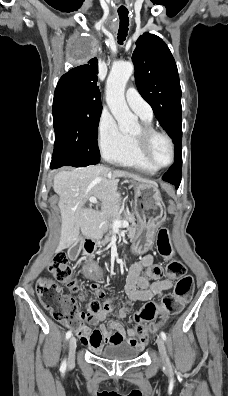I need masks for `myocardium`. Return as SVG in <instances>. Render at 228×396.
Returning a JSON list of instances; mask_svg holds the SVG:
<instances>
[{
	"label": "myocardium",
	"instance_id": "myocardium-1",
	"mask_svg": "<svg viewBox=\"0 0 228 396\" xmlns=\"http://www.w3.org/2000/svg\"><path fill=\"white\" fill-rule=\"evenodd\" d=\"M156 136H160L164 138L167 141L170 148V153H171L170 160L164 165H156L150 157V153H149L150 143L152 139ZM132 139L142 161L153 170L159 171L165 169L174 162L175 148H174L173 140L167 133L156 129L151 124L143 123L140 127V133L138 135H133Z\"/></svg>",
	"mask_w": 228,
	"mask_h": 396
}]
</instances>
